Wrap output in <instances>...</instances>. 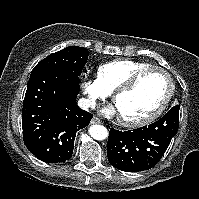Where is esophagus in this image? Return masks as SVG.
<instances>
[{
  "mask_svg": "<svg viewBox=\"0 0 199 199\" xmlns=\"http://www.w3.org/2000/svg\"><path fill=\"white\" fill-rule=\"evenodd\" d=\"M91 124H101V120L98 117H93Z\"/></svg>",
  "mask_w": 199,
  "mask_h": 199,
  "instance_id": "esophagus-1",
  "label": "esophagus"
}]
</instances>
